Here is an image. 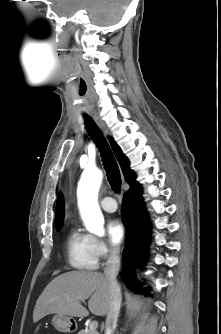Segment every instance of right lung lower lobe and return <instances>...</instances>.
Returning a JSON list of instances; mask_svg holds the SVG:
<instances>
[{
    "instance_id": "98d812e1",
    "label": "right lung lower lobe",
    "mask_w": 221,
    "mask_h": 334,
    "mask_svg": "<svg viewBox=\"0 0 221 334\" xmlns=\"http://www.w3.org/2000/svg\"><path fill=\"white\" fill-rule=\"evenodd\" d=\"M122 216L127 229L123 262L125 271L122 272V277L131 291L142 294L143 290L136 288L133 276L130 274L132 267L141 265L146 259L147 234L149 233V224L141 200V187L138 183L131 185L124 196Z\"/></svg>"
}]
</instances>
